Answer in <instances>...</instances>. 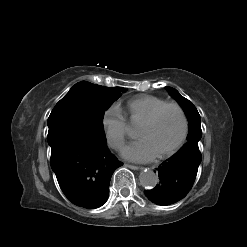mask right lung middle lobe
Wrapping results in <instances>:
<instances>
[{
    "label": "right lung middle lobe",
    "mask_w": 247,
    "mask_h": 247,
    "mask_svg": "<svg viewBox=\"0 0 247 247\" xmlns=\"http://www.w3.org/2000/svg\"><path fill=\"white\" fill-rule=\"evenodd\" d=\"M122 90V87L79 82L56 104L48 118V127L74 125L106 142L102 123L104 112L122 95Z\"/></svg>",
    "instance_id": "1"
}]
</instances>
